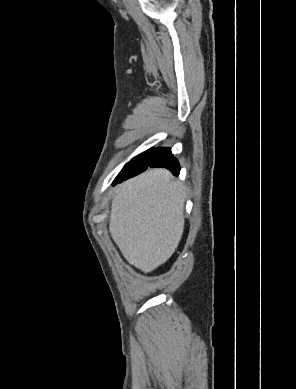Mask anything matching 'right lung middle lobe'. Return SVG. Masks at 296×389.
I'll return each mask as SVG.
<instances>
[{"label":"right lung middle lobe","mask_w":296,"mask_h":389,"mask_svg":"<svg viewBox=\"0 0 296 389\" xmlns=\"http://www.w3.org/2000/svg\"><path fill=\"white\" fill-rule=\"evenodd\" d=\"M154 151V148H150L147 151L139 154L138 156L134 157L130 162H128L124 168H142L146 166L147 164V158L150 155V153Z\"/></svg>","instance_id":"dd1d6c3e"}]
</instances>
